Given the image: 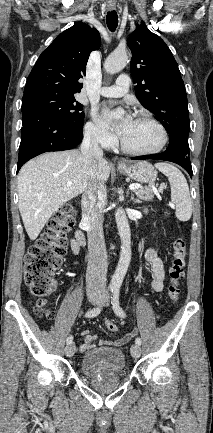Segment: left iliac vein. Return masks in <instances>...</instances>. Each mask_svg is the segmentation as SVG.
Instances as JSON below:
<instances>
[{
    "label": "left iliac vein",
    "mask_w": 213,
    "mask_h": 433,
    "mask_svg": "<svg viewBox=\"0 0 213 433\" xmlns=\"http://www.w3.org/2000/svg\"><path fill=\"white\" fill-rule=\"evenodd\" d=\"M109 304V296L107 294H104V305L107 306ZM131 355L134 358H138L141 355V348L138 344H133L131 346Z\"/></svg>",
    "instance_id": "4c4485c4"
}]
</instances>
